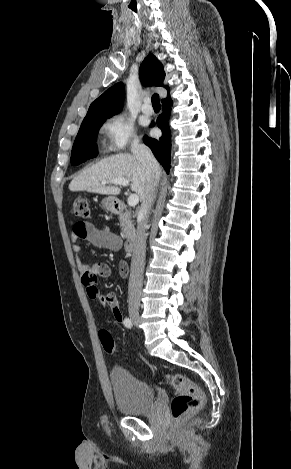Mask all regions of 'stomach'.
Masks as SVG:
<instances>
[{
	"mask_svg": "<svg viewBox=\"0 0 291 469\" xmlns=\"http://www.w3.org/2000/svg\"><path fill=\"white\" fill-rule=\"evenodd\" d=\"M117 199L113 196L106 197L102 200V207L110 212H114L116 208Z\"/></svg>",
	"mask_w": 291,
	"mask_h": 469,
	"instance_id": "1",
	"label": "stomach"
}]
</instances>
